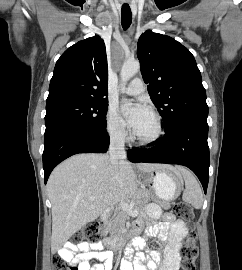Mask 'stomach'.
<instances>
[{
    "mask_svg": "<svg viewBox=\"0 0 242 270\" xmlns=\"http://www.w3.org/2000/svg\"><path fill=\"white\" fill-rule=\"evenodd\" d=\"M145 181L152 185L156 197L161 201L176 199L183 186L181 175L175 168H161L145 176Z\"/></svg>",
    "mask_w": 242,
    "mask_h": 270,
    "instance_id": "0dacf381",
    "label": "stomach"
}]
</instances>
